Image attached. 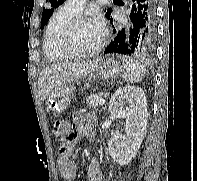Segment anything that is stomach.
<instances>
[{
    "label": "stomach",
    "instance_id": "obj_1",
    "mask_svg": "<svg viewBox=\"0 0 197 181\" xmlns=\"http://www.w3.org/2000/svg\"><path fill=\"white\" fill-rule=\"evenodd\" d=\"M122 72L120 63L114 58L98 59L94 61L90 81H109L117 78ZM75 87L71 83L62 84L50 93L46 102L47 107L55 112H63L69 106L74 95Z\"/></svg>",
    "mask_w": 197,
    "mask_h": 181
}]
</instances>
